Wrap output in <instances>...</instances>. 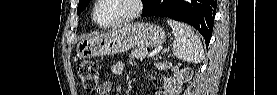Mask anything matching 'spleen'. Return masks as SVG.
<instances>
[{
  "label": "spleen",
  "instance_id": "1",
  "mask_svg": "<svg viewBox=\"0 0 277 95\" xmlns=\"http://www.w3.org/2000/svg\"><path fill=\"white\" fill-rule=\"evenodd\" d=\"M167 23L174 34L173 55L185 62L200 63L203 48L198 35L184 23L171 19L167 20Z\"/></svg>",
  "mask_w": 277,
  "mask_h": 95
}]
</instances>
